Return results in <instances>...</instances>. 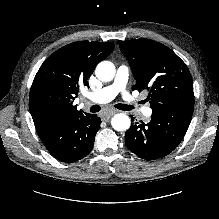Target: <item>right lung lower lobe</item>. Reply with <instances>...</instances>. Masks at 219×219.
Here are the masks:
<instances>
[{
  "label": "right lung lower lobe",
  "mask_w": 219,
  "mask_h": 219,
  "mask_svg": "<svg viewBox=\"0 0 219 219\" xmlns=\"http://www.w3.org/2000/svg\"><path fill=\"white\" fill-rule=\"evenodd\" d=\"M101 119L79 112L35 124L47 150L56 159L71 163L87 156L94 145Z\"/></svg>",
  "instance_id": "right-lung-lower-lobe-1"
}]
</instances>
